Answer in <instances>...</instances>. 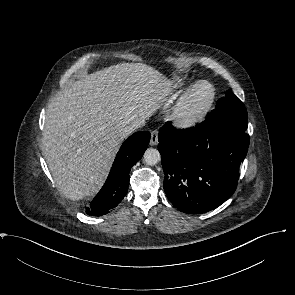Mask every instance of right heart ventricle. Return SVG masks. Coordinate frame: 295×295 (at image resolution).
<instances>
[{
    "label": "right heart ventricle",
    "instance_id": "right-heart-ventricle-1",
    "mask_svg": "<svg viewBox=\"0 0 295 295\" xmlns=\"http://www.w3.org/2000/svg\"><path fill=\"white\" fill-rule=\"evenodd\" d=\"M187 86L185 77L173 74L166 79L162 85L161 94L164 98H174L178 96Z\"/></svg>",
    "mask_w": 295,
    "mask_h": 295
}]
</instances>
